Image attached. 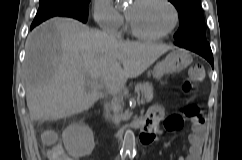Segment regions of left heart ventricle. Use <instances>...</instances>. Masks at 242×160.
Here are the masks:
<instances>
[{"label":"left heart ventricle","instance_id":"left-heart-ventricle-1","mask_svg":"<svg viewBox=\"0 0 242 160\" xmlns=\"http://www.w3.org/2000/svg\"><path fill=\"white\" fill-rule=\"evenodd\" d=\"M126 12L135 28L143 34H161L173 23V12L163 0H134Z\"/></svg>","mask_w":242,"mask_h":160}]
</instances>
